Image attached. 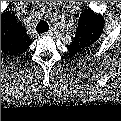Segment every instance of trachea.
<instances>
[{"label": "trachea", "instance_id": "3493384b", "mask_svg": "<svg viewBox=\"0 0 121 121\" xmlns=\"http://www.w3.org/2000/svg\"><path fill=\"white\" fill-rule=\"evenodd\" d=\"M49 30V25L45 21H40L37 24V32H47Z\"/></svg>", "mask_w": 121, "mask_h": 121}]
</instances>
